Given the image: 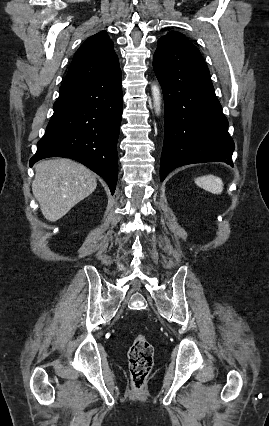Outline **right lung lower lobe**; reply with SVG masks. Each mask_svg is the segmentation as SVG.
<instances>
[{
	"label": "right lung lower lobe",
	"mask_w": 269,
	"mask_h": 426,
	"mask_svg": "<svg viewBox=\"0 0 269 426\" xmlns=\"http://www.w3.org/2000/svg\"><path fill=\"white\" fill-rule=\"evenodd\" d=\"M45 135L30 166L47 157L76 160L100 175L114 194L117 140L122 117L121 70L95 79L63 83Z\"/></svg>",
	"instance_id": "98d812e1"
}]
</instances>
